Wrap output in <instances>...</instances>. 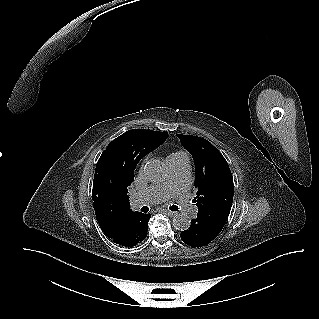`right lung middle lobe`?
I'll return each instance as SVG.
<instances>
[{
  "label": "right lung middle lobe",
  "instance_id": "dd1d6c3e",
  "mask_svg": "<svg viewBox=\"0 0 319 319\" xmlns=\"http://www.w3.org/2000/svg\"><path fill=\"white\" fill-rule=\"evenodd\" d=\"M136 166L126 151L107 146L97 162L94 174V205L126 198L128 187L134 180Z\"/></svg>",
  "mask_w": 319,
  "mask_h": 319
}]
</instances>
